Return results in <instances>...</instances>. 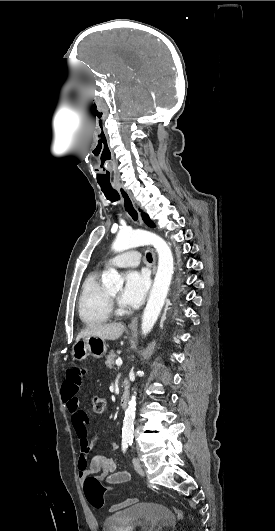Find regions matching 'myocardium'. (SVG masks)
Here are the masks:
<instances>
[{
	"instance_id": "1",
	"label": "myocardium",
	"mask_w": 275,
	"mask_h": 531,
	"mask_svg": "<svg viewBox=\"0 0 275 531\" xmlns=\"http://www.w3.org/2000/svg\"><path fill=\"white\" fill-rule=\"evenodd\" d=\"M107 294L111 301H114L116 299V296L112 295L111 293L107 292Z\"/></svg>"
}]
</instances>
